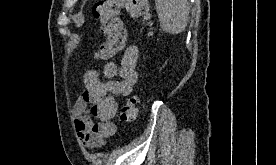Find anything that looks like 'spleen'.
Returning <instances> with one entry per match:
<instances>
[{
    "mask_svg": "<svg viewBox=\"0 0 276 165\" xmlns=\"http://www.w3.org/2000/svg\"><path fill=\"white\" fill-rule=\"evenodd\" d=\"M155 4L164 32L179 34L185 30L189 19L187 0H155Z\"/></svg>",
    "mask_w": 276,
    "mask_h": 165,
    "instance_id": "3e777b00",
    "label": "spleen"
}]
</instances>
